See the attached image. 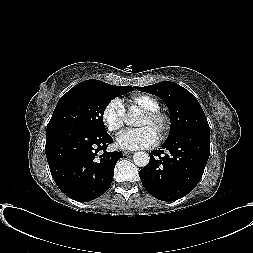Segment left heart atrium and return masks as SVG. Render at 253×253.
I'll return each mask as SVG.
<instances>
[{"mask_svg":"<svg viewBox=\"0 0 253 253\" xmlns=\"http://www.w3.org/2000/svg\"><path fill=\"white\" fill-rule=\"evenodd\" d=\"M158 140V133L151 127H145L120 133L116 145L124 150H140L155 146Z\"/></svg>","mask_w":253,"mask_h":253,"instance_id":"1","label":"left heart atrium"}]
</instances>
